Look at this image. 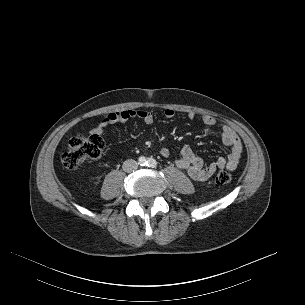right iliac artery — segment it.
I'll list each match as a JSON object with an SVG mask.
<instances>
[{
  "mask_svg": "<svg viewBox=\"0 0 305 305\" xmlns=\"http://www.w3.org/2000/svg\"><path fill=\"white\" fill-rule=\"evenodd\" d=\"M139 164H140L141 166H145V165L147 164V160H146L144 157H141V158L139 159Z\"/></svg>",
  "mask_w": 305,
  "mask_h": 305,
  "instance_id": "right-iliac-artery-1",
  "label": "right iliac artery"
}]
</instances>
